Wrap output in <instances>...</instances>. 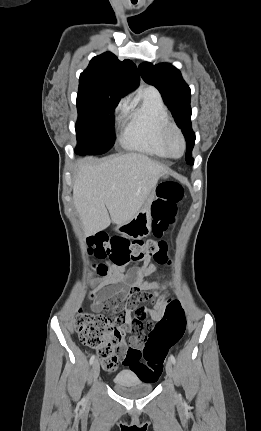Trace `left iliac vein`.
<instances>
[{"mask_svg": "<svg viewBox=\"0 0 261 431\" xmlns=\"http://www.w3.org/2000/svg\"><path fill=\"white\" fill-rule=\"evenodd\" d=\"M166 373L169 379L172 381L174 377V369H173L172 362L170 360L166 362Z\"/></svg>", "mask_w": 261, "mask_h": 431, "instance_id": "left-iliac-vein-1", "label": "left iliac vein"}]
</instances>
